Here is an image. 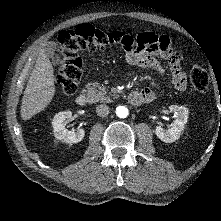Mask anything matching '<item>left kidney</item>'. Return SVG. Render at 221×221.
Masks as SVG:
<instances>
[{"mask_svg": "<svg viewBox=\"0 0 221 221\" xmlns=\"http://www.w3.org/2000/svg\"><path fill=\"white\" fill-rule=\"evenodd\" d=\"M169 110L173 112L176 117L171 128L164 129L161 126H157L155 129L156 136L166 143L174 142L180 138L189 114L188 109L184 106L171 105L169 106Z\"/></svg>", "mask_w": 221, "mask_h": 221, "instance_id": "5707ae66", "label": "left kidney"}]
</instances>
